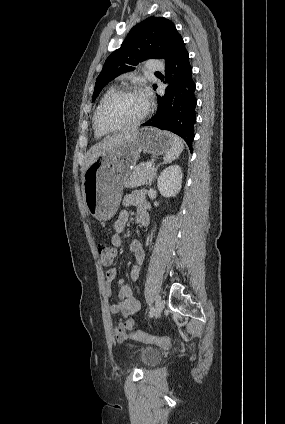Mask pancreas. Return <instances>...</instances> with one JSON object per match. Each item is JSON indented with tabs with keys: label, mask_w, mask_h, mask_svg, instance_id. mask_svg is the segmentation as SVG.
<instances>
[{
	"label": "pancreas",
	"mask_w": 285,
	"mask_h": 424,
	"mask_svg": "<svg viewBox=\"0 0 285 424\" xmlns=\"http://www.w3.org/2000/svg\"><path fill=\"white\" fill-rule=\"evenodd\" d=\"M155 167H147V163H140L135 166L129 181L126 183L128 188H135L142 185H151L155 178Z\"/></svg>",
	"instance_id": "pancreas-1"
}]
</instances>
